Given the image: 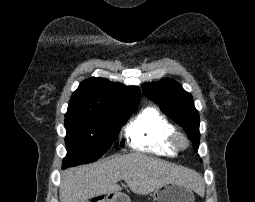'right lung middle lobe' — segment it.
<instances>
[{"label":"right lung middle lobe","mask_w":255,"mask_h":202,"mask_svg":"<svg viewBox=\"0 0 255 202\" xmlns=\"http://www.w3.org/2000/svg\"><path fill=\"white\" fill-rule=\"evenodd\" d=\"M137 105L106 114L66 116L67 156L63 168L96 161L117 139L120 126Z\"/></svg>","instance_id":"dd1d6c3e"}]
</instances>
